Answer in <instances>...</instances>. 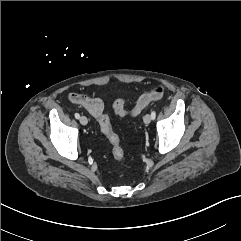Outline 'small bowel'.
<instances>
[{"mask_svg":"<svg viewBox=\"0 0 241 241\" xmlns=\"http://www.w3.org/2000/svg\"><path fill=\"white\" fill-rule=\"evenodd\" d=\"M69 100L71 103L86 109L95 118H98L103 113L104 103L100 98L72 93Z\"/></svg>","mask_w":241,"mask_h":241,"instance_id":"obj_1","label":"small bowel"}]
</instances>
